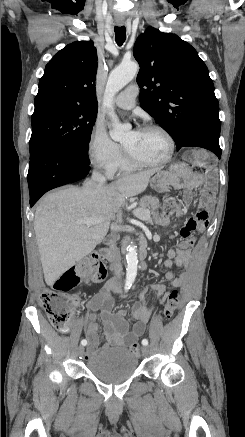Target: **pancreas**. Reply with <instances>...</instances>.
<instances>
[{"mask_svg":"<svg viewBox=\"0 0 245 437\" xmlns=\"http://www.w3.org/2000/svg\"><path fill=\"white\" fill-rule=\"evenodd\" d=\"M159 207H160V202L158 198L152 196H144L140 200L139 207L136 210H134V212L138 214H143L146 210H148L149 212H154Z\"/></svg>","mask_w":245,"mask_h":437,"instance_id":"pancreas-1","label":"pancreas"}]
</instances>
